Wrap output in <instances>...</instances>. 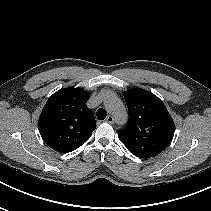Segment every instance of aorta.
<instances>
[{
	"label": "aorta",
	"instance_id": "obj_1",
	"mask_svg": "<svg viewBox=\"0 0 211 211\" xmlns=\"http://www.w3.org/2000/svg\"><path fill=\"white\" fill-rule=\"evenodd\" d=\"M105 106L117 119H127L125 106L118 98L113 96L108 98L105 102Z\"/></svg>",
	"mask_w": 211,
	"mask_h": 211
}]
</instances>
